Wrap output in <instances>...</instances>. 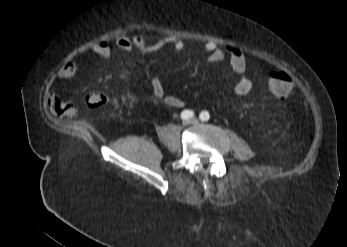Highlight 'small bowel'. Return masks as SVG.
Segmentation results:
<instances>
[{
  "label": "small bowel",
  "mask_w": 347,
  "mask_h": 247,
  "mask_svg": "<svg viewBox=\"0 0 347 247\" xmlns=\"http://www.w3.org/2000/svg\"><path fill=\"white\" fill-rule=\"evenodd\" d=\"M115 45L123 51H138L142 54L157 53L167 47H172L174 51H182L185 47L183 40L176 37H164L151 39L143 34H133L131 36H119L115 40ZM203 49L207 53L208 61L211 63H222L227 61L232 74L238 77L233 85L235 94L247 95L253 88L252 80L245 75L247 69L246 58L243 53L233 47H221L215 42H206ZM89 50L102 59H108L111 56V47L106 41H99L89 47ZM77 73V66L73 62L66 63L59 71L62 78H72ZM150 90L152 94L162 99L164 103L171 108H181L185 102L179 97L165 95V86L161 79L152 78L150 80ZM50 111L61 118H72L76 115V107L68 101L53 97L48 101Z\"/></svg>",
  "instance_id": "1"
}]
</instances>
